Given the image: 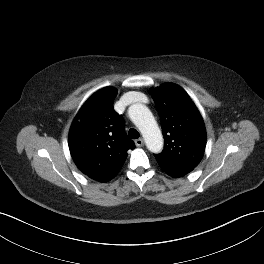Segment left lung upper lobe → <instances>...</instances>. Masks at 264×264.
<instances>
[{"label":"left lung upper lobe","mask_w":264,"mask_h":264,"mask_svg":"<svg viewBox=\"0 0 264 264\" xmlns=\"http://www.w3.org/2000/svg\"><path fill=\"white\" fill-rule=\"evenodd\" d=\"M162 120L164 150L155 158L162 170L191 172L201 161L206 130L200 112L179 86L165 83L151 90Z\"/></svg>","instance_id":"1"}]
</instances>
